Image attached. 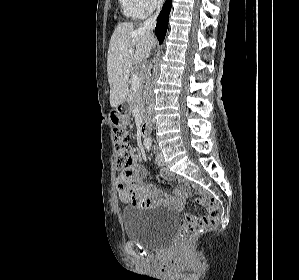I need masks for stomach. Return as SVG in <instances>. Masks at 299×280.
<instances>
[{"label": "stomach", "instance_id": "obj_1", "mask_svg": "<svg viewBox=\"0 0 299 280\" xmlns=\"http://www.w3.org/2000/svg\"><path fill=\"white\" fill-rule=\"evenodd\" d=\"M131 109L127 103L119 105L109 113V121L115 127H126L129 124Z\"/></svg>", "mask_w": 299, "mask_h": 280}]
</instances>
